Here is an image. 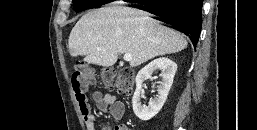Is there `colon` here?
<instances>
[{
	"label": "colon",
	"instance_id": "5ec220e1",
	"mask_svg": "<svg viewBox=\"0 0 257 130\" xmlns=\"http://www.w3.org/2000/svg\"><path fill=\"white\" fill-rule=\"evenodd\" d=\"M103 86L109 90H116L121 95H130L134 86V72L131 69L114 68L103 69L100 73ZM96 81L95 71L87 64H77L71 74L72 87L78 99H85V92L89 85Z\"/></svg>",
	"mask_w": 257,
	"mask_h": 130
}]
</instances>
